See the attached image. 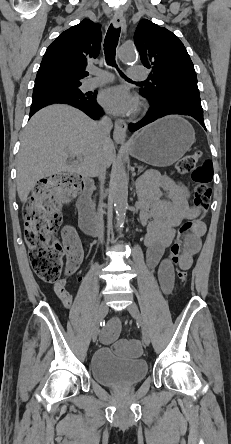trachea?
<instances>
[{
    "mask_svg": "<svg viewBox=\"0 0 231 444\" xmlns=\"http://www.w3.org/2000/svg\"><path fill=\"white\" fill-rule=\"evenodd\" d=\"M119 36H120V28H114L113 25L111 24L104 40V54H105L106 63L110 66L116 67L118 71L119 69L115 62V55H116V47L118 44ZM119 73L126 80H129L121 71H119Z\"/></svg>",
    "mask_w": 231,
    "mask_h": 444,
    "instance_id": "obj_1",
    "label": "trachea"
}]
</instances>
